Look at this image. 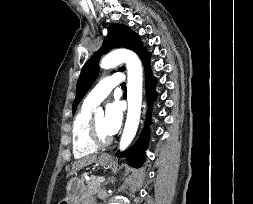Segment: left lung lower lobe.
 Here are the masks:
<instances>
[{"mask_svg": "<svg viewBox=\"0 0 253 204\" xmlns=\"http://www.w3.org/2000/svg\"><path fill=\"white\" fill-rule=\"evenodd\" d=\"M150 56L151 54L149 52H146V54L142 58V62L145 67V87H146V97L149 105L152 104V101L157 97L156 91H155V84L156 79L153 77L151 69H150ZM147 123H149V119L147 120ZM147 128V126H146ZM149 141V134L147 129L143 130L138 142L125 152L117 153L118 157H126L128 164L140 167L145 159V150L147 148Z\"/></svg>", "mask_w": 253, "mask_h": 204, "instance_id": "obj_1", "label": "left lung lower lobe"}]
</instances>
